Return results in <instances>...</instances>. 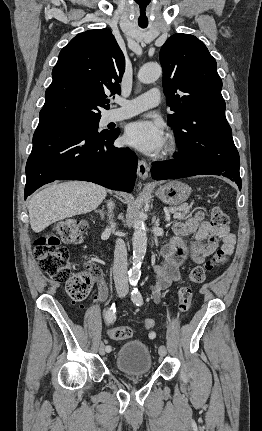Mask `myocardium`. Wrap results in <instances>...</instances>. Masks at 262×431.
I'll list each match as a JSON object with an SVG mask.
<instances>
[{
	"mask_svg": "<svg viewBox=\"0 0 262 431\" xmlns=\"http://www.w3.org/2000/svg\"><path fill=\"white\" fill-rule=\"evenodd\" d=\"M179 151V145L176 140L171 139L165 150L166 156H174Z\"/></svg>",
	"mask_w": 262,
	"mask_h": 431,
	"instance_id": "1",
	"label": "myocardium"
}]
</instances>
